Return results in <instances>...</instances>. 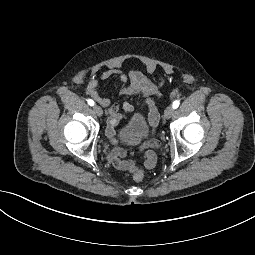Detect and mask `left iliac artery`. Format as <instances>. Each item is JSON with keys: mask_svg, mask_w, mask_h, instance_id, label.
Returning a JSON list of instances; mask_svg holds the SVG:
<instances>
[{"mask_svg": "<svg viewBox=\"0 0 255 255\" xmlns=\"http://www.w3.org/2000/svg\"><path fill=\"white\" fill-rule=\"evenodd\" d=\"M180 102L178 100L173 102V108L176 109L179 106Z\"/></svg>", "mask_w": 255, "mask_h": 255, "instance_id": "44dca946", "label": "left iliac artery"}]
</instances>
